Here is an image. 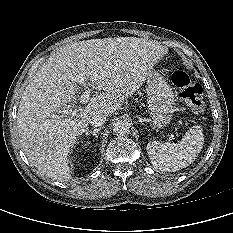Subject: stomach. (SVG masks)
Segmentation results:
<instances>
[{
    "mask_svg": "<svg viewBox=\"0 0 233 233\" xmlns=\"http://www.w3.org/2000/svg\"><path fill=\"white\" fill-rule=\"evenodd\" d=\"M147 103L154 129L166 127L175 111V98L166 79L152 71L147 77Z\"/></svg>",
    "mask_w": 233,
    "mask_h": 233,
    "instance_id": "stomach-1",
    "label": "stomach"
}]
</instances>
